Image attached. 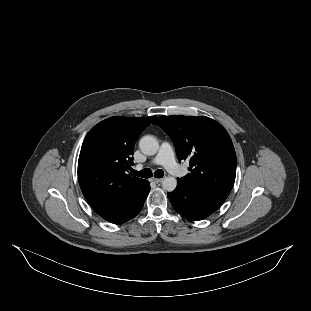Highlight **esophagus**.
I'll return each mask as SVG.
<instances>
[{"instance_id": "1", "label": "esophagus", "mask_w": 311, "mask_h": 311, "mask_svg": "<svg viewBox=\"0 0 311 311\" xmlns=\"http://www.w3.org/2000/svg\"><path fill=\"white\" fill-rule=\"evenodd\" d=\"M162 180V178H151V181H153L154 183H161Z\"/></svg>"}]
</instances>
